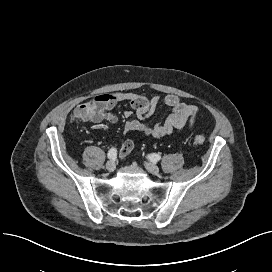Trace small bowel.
Instances as JSON below:
<instances>
[{"label": "small bowel", "mask_w": 272, "mask_h": 272, "mask_svg": "<svg viewBox=\"0 0 272 272\" xmlns=\"http://www.w3.org/2000/svg\"><path fill=\"white\" fill-rule=\"evenodd\" d=\"M127 102L135 112L136 118H132L131 111H125L128 118L123 131L125 134L141 132L146 136L161 138L173 132L182 131L192 127L197 115V107L185 103L181 97L168 94L163 97L155 95L147 97L129 91H118L111 94H98L88 101L77 106L71 113L72 120L91 121L99 123L104 120L115 122L117 116L112 112L115 104ZM159 104L170 107L171 111L164 121L155 125H148L144 121L149 118ZM134 148L132 140L127 139L119 150V155L124 157Z\"/></svg>", "instance_id": "1"}]
</instances>
